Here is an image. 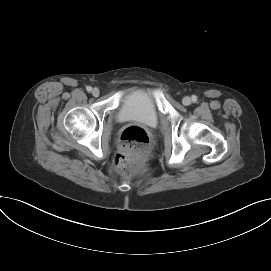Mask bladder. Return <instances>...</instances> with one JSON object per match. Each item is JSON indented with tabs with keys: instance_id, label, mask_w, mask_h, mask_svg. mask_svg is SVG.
Listing matches in <instances>:
<instances>
[{
	"instance_id": "obj_1",
	"label": "bladder",
	"mask_w": 271,
	"mask_h": 271,
	"mask_svg": "<svg viewBox=\"0 0 271 271\" xmlns=\"http://www.w3.org/2000/svg\"><path fill=\"white\" fill-rule=\"evenodd\" d=\"M120 122H139L155 127L159 122V110L151 94L133 91L124 96L116 114Z\"/></svg>"
}]
</instances>
